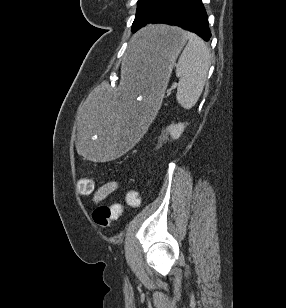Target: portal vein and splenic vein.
<instances>
[{
  "instance_id": "18ae733b",
  "label": "portal vein and splenic vein",
  "mask_w": 286,
  "mask_h": 308,
  "mask_svg": "<svg viewBox=\"0 0 286 308\" xmlns=\"http://www.w3.org/2000/svg\"><path fill=\"white\" fill-rule=\"evenodd\" d=\"M177 87V84L172 85L171 89H175Z\"/></svg>"
}]
</instances>
